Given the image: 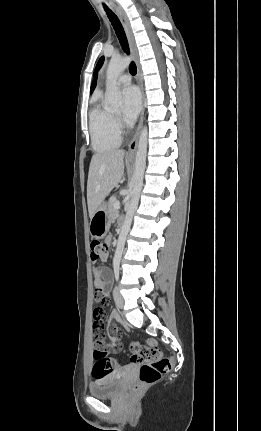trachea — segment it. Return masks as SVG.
<instances>
[{
    "label": "trachea",
    "mask_w": 261,
    "mask_h": 431,
    "mask_svg": "<svg viewBox=\"0 0 261 431\" xmlns=\"http://www.w3.org/2000/svg\"><path fill=\"white\" fill-rule=\"evenodd\" d=\"M104 10L106 11V14L115 30V33L119 39V42L123 48V50L126 53H129V45L128 41L124 32V29L122 27V24L118 17L106 6L104 5ZM129 71L132 75H135L137 72L136 64L134 62H131L129 65Z\"/></svg>",
    "instance_id": "1"
}]
</instances>
